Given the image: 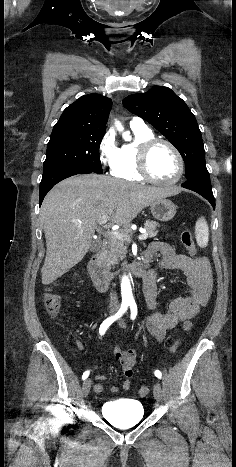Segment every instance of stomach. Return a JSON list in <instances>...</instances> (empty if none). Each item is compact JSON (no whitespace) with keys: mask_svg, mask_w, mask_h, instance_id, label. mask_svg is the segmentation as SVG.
Here are the masks:
<instances>
[{"mask_svg":"<svg viewBox=\"0 0 236 467\" xmlns=\"http://www.w3.org/2000/svg\"><path fill=\"white\" fill-rule=\"evenodd\" d=\"M150 209L153 217L163 222L171 220L176 214V205L166 198L154 201Z\"/></svg>","mask_w":236,"mask_h":467,"instance_id":"1","label":"stomach"}]
</instances>
